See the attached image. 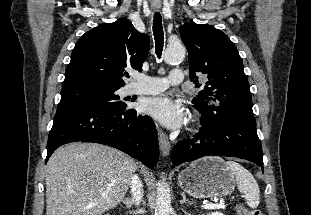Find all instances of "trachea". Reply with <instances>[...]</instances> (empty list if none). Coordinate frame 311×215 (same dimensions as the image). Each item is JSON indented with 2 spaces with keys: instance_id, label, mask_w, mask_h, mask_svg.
Returning <instances> with one entry per match:
<instances>
[{
  "instance_id": "trachea-1",
  "label": "trachea",
  "mask_w": 311,
  "mask_h": 215,
  "mask_svg": "<svg viewBox=\"0 0 311 215\" xmlns=\"http://www.w3.org/2000/svg\"><path fill=\"white\" fill-rule=\"evenodd\" d=\"M153 34L155 39V51L158 58H161L164 44V33L162 27V17L159 12L154 14Z\"/></svg>"
}]
</instances>
